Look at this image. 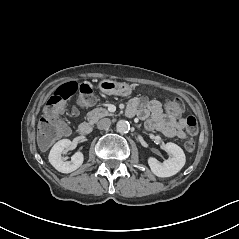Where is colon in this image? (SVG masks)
Wrapping results in <instances>:
<instances>
[{"label": "colon", "instance_id": "5ec220e1", "mask_svg": "<svg viewBox=\"0 0 239 239\" xmlns=\"http://www.w3.org/2000/svg\"><path fill=\"white\" fill-rule=\"evenodd\" d=\"M76 93H78V108L86 107L94 102L92 87L86 83L77 84L76 82H67L60 85L48 99L39 125V136L43 144L54 141L62 133L63 127L58 115L63 111L66 102ZM183 110L184 103L180 98H173L166 103V111L170 115H179ZM186 131L190 139L185 142V149L192 152L195 149L193 137L198 132L197 120L194 116L187 117Z\"/></svg>", "mask_w": 239, "mask_h": 239}]
</instances>
